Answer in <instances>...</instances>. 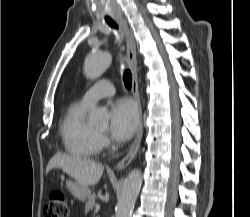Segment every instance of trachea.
<instances>
[{"instance_id":"3493384b","label":"trachea","mask_w":250,"mask_h":217,"mask_svg":"<svg viewBox=\"0 0 250 217\" xmlns=\"http://www.w3.org/2000/svg\"><path fill=\"white\" fill-rule=\"evenodd\" d=\"M106 22L108 23L109 26H111L112 28L117 29V24L110 20V19H106ZM123 81H124V85L126 88H131L132 86V74L130 72L129 69H126L123 75Z\"/></svg>"}]
</instances>
